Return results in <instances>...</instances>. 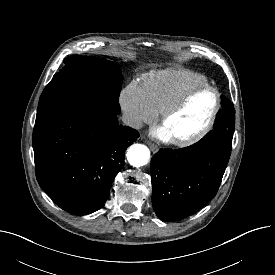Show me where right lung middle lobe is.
I'll return each instance as SVG.
<instances>
[{
  "mask_svg": "<svg viewBox=\"0 0 275 275\" xmlns=\"http://www.w3.org/2000/svg\"><path fill=\"white\" fill-rule=\"evenodd\" d=\"M64 63L40 96L35 123L78 104L120 113L123 77L118 64L88 56H70Z\"/></svg>",
  "mask_w": 275,
  "mask_h": 275,
  "instance_id": "1",
  "label": "right lung middle lobe"
}]
</instances>
